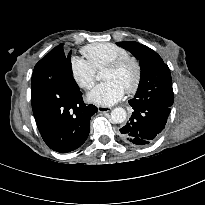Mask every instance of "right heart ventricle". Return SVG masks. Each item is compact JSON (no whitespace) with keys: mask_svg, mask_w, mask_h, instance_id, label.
<instances>
[{"mask_svg":"<svg viewBox=\"0 0 205 205\" xmlns=\"http://www.w3.org/2000/svg\"><path fill=\"white\" fill-rule=\"evenodd\" d=\"M81 52L95 71L103 69L107 64L118 58L129 56L125 48L109 42L87 45L82 48Z\"/></svg>","mask_w":205,"mask_h":205,"instance_id":"1","label":"right heart ventricle"}]
</instances>
